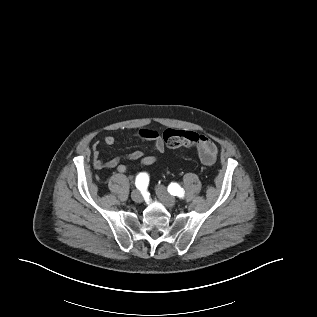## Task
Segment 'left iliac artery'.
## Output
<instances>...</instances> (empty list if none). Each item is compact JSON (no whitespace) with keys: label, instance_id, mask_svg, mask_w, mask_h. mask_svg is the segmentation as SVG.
<instances>
[{"label":"left iliac artery","instance_id":"44dca946","mask_svg":"<svg viewBox=\"0 0 317 317\" xmlns=\"http://www.w3.org/2000/svg\"><path fill=\"white\" fill-rule=\"evenodd\" d=\"M168 192H170L171 195L178 196L179 198L184 197V190L177 183H171L168 187Z\"/></svg>","mask_w":317,"mask_h":317}]
</instances>
